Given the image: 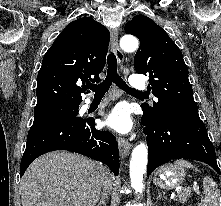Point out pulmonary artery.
Listing matches in <instances>:
<instances>
[{"label":"pulmonary artery","instance_id":"e3ab8cb5","mask_svg":"<svg viewBox=\"0 0 221 206\" xmlns=\"http://www.w3.org/2000/svg\"><path fill=\"white\" fill-rule=\"evenodd\" d=\"M130 87L134 90H143L146 88L147 83L143 76L133 74L129 78Z\"/></svg>","mask_w":221,"mask_h":206}]
</instances>
